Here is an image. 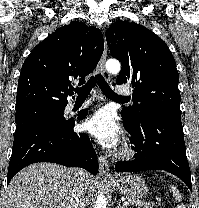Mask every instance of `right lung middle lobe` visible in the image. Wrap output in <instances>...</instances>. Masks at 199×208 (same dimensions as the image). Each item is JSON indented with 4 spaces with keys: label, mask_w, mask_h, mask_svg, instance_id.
<instances>
[{
    "label": "right lung middle lobe",
    "mask_w": 199,
    "mask_h": 208,
    "mask_svg": "<svg viewBox=\"0 0 199 208\" xmlns=\"http://www.w3.org/2000/svg\"><path fill=\"white\" fill-rule=\"evenodd\" d=\"M64 109L65 106H29L16 110L15 121L17 124L31 120H44L57 124H63L67 122L64 118Z\"/></svg>",
    "instance_id": "right-lung-middle-lobe-1"
}]
</instances>
